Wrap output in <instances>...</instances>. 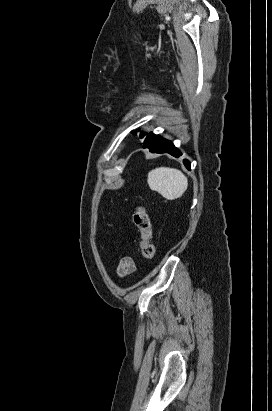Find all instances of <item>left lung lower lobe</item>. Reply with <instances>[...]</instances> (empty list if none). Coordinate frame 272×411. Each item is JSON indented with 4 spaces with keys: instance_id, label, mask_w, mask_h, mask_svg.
I'll return each mask as SVG.
<instances>
[{
    "instance_id": "0a47b994",
    "label": "left lung lower lobe",
    "mask_w": 272,
    "mask_h": 411,
    "mask_svg": "<svg viewBox=\"0 0 272 411\" xmlns=\"http://www.w3.org/2000/svg\"><path fill=\"white\" fill-rule=\"evenodd\" d=\"M143 148H149L152 153H169L174 157H179L181 152L169 140H166L158 135L149 133L144 141ZM186 168L190 169V162L183 161Z\"/></svg>"
}]
</instances>
